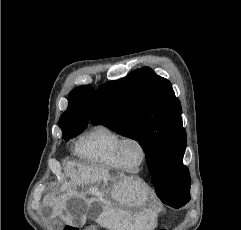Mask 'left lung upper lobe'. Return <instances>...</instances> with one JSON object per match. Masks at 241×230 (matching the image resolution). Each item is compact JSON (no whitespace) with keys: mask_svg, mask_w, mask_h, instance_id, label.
<instances>
[{"mask_svg":"<svg viewBox=\"0 0 241 230\" xmlns=\"http://www.w3.org/2000/svg\"><path fill=\"white\" fill-rule=\"evenodd\" d=\"M91 123L102 124L137 140L146 153L156 193L167 205H184L190 199V174L182 159L186 132L181 104L170 81L149 67L109 81L95 94Z\"/></svg>","mask_w":241,"mask_h":230,"instance_id":"5c2ea615","label":"left lung upper lobe"}]
</instances>
